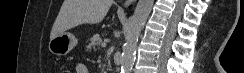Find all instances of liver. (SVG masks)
I'll return each instance as SVG.
<instances>
[{
	"instance_id": "liver-1",
	"label": "liver",
	"mask_w": 244,
	"mask_h": 73,
	"mask_svg": "<svg viewBox=\"0 0 244 73\" xmlns=\"http://www.w3.org/2000/svg\"><path fill=\"white\" fill-rule=\"evenodd\" d=\"M113 0H64L50 39L82 24L100 23L106 16Z\"/></svg>"
}]
</instances>
